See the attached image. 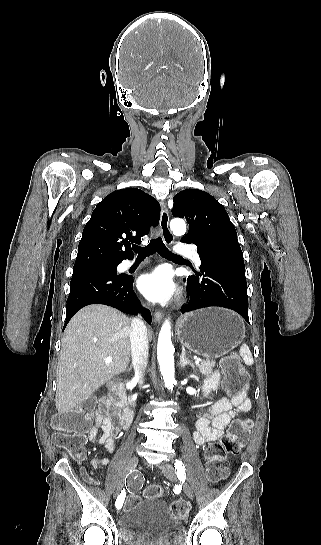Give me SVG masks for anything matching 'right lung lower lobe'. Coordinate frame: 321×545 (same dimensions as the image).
Wrapping results in <instances>:
<instances>
[{
  "mask_svg": "<svg viewBox=\"0 0 321 545\" xmlns=\"http://www.w3.org/2000/svg\"><path fill=\"white\" fill-rule=\"evenodd\" d=\"M132 285L133 277L126 274L97 267L73 269L65 326L78 310L89 304H105L135 315L140 312L150 324L151 313L141 306Z\"/></svg>",
  "mask_w": 321,
  "mask_h": 545,
  "instance_id": "right-lung-lower-lobe-1",
  "label": "right lung lower lobe"
}]
</instances>
